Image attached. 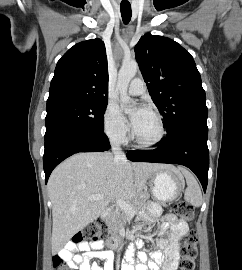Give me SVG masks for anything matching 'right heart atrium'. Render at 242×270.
Listing matches in <instances>:
<instances>
[{
    "label": "right heart atrium",
    "instance_id": "obj_1",
    "mask_svg": "<svg viewBox=\"0 0 242 270\" xmlns=\"http://www.w3.org/2000/svg\"><path fill=\"white\" fill-rule=\"evenodd\" d=\"M103 129L107 137L116 144L125 143L130 134L127 122L118 107L108 104L103 116Z\"/></svg>",
    "mask_w": 242,
    "mask_h": 270
}]
</instances>
